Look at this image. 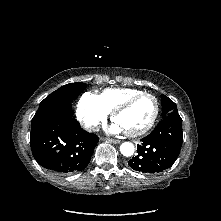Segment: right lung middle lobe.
Segmentation results:
<instances>
[{
    "label": "right lung middle lobe",
    "instance_id": "1",
    "mask_svg": "<svg viewBox=\"0 0 221 221\" xmlns=\"http://www.w3.org/2000/svg\"><path fill=\"white\" fill-rule=\"evenodd\" d=\"M86 88L85 83H70L64 85L48 95L39 105L37 112L35 113L33 120L41 116L43 113L61 107L71 102Z\"/></svg>",
    "mask_w": 221,
    "mask_h": 221
}]
</instances>
